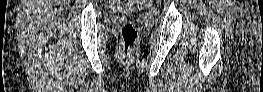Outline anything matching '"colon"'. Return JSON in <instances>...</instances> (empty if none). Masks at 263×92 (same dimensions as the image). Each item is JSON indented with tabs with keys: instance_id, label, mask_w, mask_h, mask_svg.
Wrapping results in <instances>:
<instances>
[{
	"instance_id": "1",
	"label": "colon",
	"mask_w": 263,
	"mask_h": 92,
	"mask_svg": "<svg viewBox=\"0 0 263 92\" xmlns=\"http://www.w3.org/2000/svg\"><path fill=\"white\" fill-rule=\"evenodd\" d=\"M119 1H112V4H120ZM122 36H123V45L122 50L127 52L131 49L133 43L137 37V29L136 24L133 21H127L122 28Z\"/></svg>"
}]
</instances>
